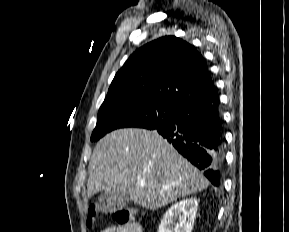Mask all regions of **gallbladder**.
Returning <instances> with one entry per match:
<instances>
[{
    "instance_id": "gallbladder-1",
    "label": "gallbladder",
    "mask_w": 289,
    "mask_h": 232,
    "mask_svg": "<svg viewBox=\"0 0 289 232\" xmlns=\"http://www.w3.org/2000/svg\"><path fill=\"white\" fill-rule=\"evenodd\" d=\"M98 209L105 214L119 211L130 202V195L120 189L109 190L99 197Z\"/></svg>"
}]
</instances>
